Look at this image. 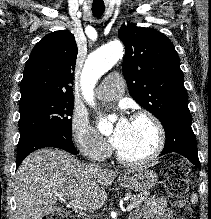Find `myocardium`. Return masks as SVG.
I'll return each instance as SVG.
<instances>
[{"label":"myocardium","mask_w":211,"mask_h":219,"mask_svg":"<svg viewBox=\"0 0 211 219\" xmlns=\"http://www.w3.org/2000/svg\"><path fill=\"white\" fill-rule=\"evenodd\" d=\"M140 119H146L153 125L156 132V143L153 150L149 154H147L144 157L136 158V159L125 157L123 154L119 152V150H117L116 151L117 160L120 163L127 166H141L148 164L156 160L165 147L166 133L164 126L159 120V118L149 111L142 110L134 113L132 116L133 121Z\"/></svg>","instance_id":"f54148a6"}]
</instances>
